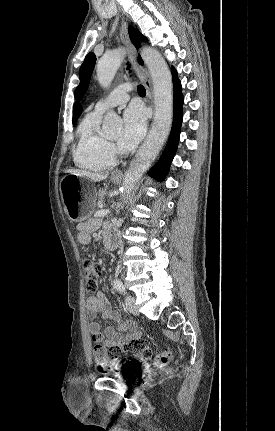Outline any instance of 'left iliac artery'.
I'll return each instance as SVG.
<instances>
[{"mask_svg": "<svg viewBox=\"0 0 275 431\" xmlns=\"http://www.w3.org/2000/svg\"><path fill=\"white\" fill-rule=\"evenodd\" d=\"M113 285L117 291H119L122 294H125V287H124L123 283L121 282V280H115Z\"/></svg>", "mask_w": 275, "mask_h": 431, "instance_id": "obj_1", "label": "left iliac artery"}]
</instances>
